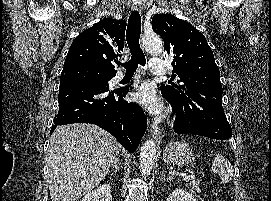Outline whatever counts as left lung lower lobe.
Masks as SVG:
<instances>
[{
    "label": "left lung lower lobe",
    "mask_w": 271,
    "mask_h": 201,
    "mask_svg": "<svg viewBox=\"0 0 271 201\" xmlns=\"http://www.w3.org/2000/svg\"><path fill=\"white\" fill-rule=\"evenodd\" d=\"M174 131L179 134H195L204 136L200 130L194 129L187 125H183L177 119L174 124Z\"/></svg>",
    "instance_id": "obj_1"
}]
</instances>
